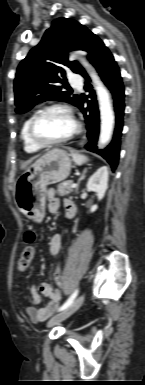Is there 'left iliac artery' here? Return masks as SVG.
Returning <instances> with one entry per match:
<instances>
[{
	"label": "left iliac artery",
	"mask_w": 145,
	"mask_h": 385,
	"mask_svg": "<svg viewBox=\"0 0 145 385\" xmlns=\"http://www.w3.org/2000/svg\"><path fill=\"white\" fill-rule=\"evenodd\" d=\"M78 295V289H76L72 295L68 298V300L59 308V311H62L64 309H66L67 307H69L73 301L75 300L76 296Z\"/></svg>",
	"instance_id": "obj_1"
}]
</instances>
